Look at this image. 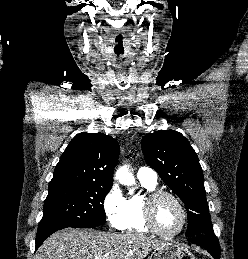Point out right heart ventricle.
Listing matches in <instances>:
<instances>
[{"instance_id": "obj_1", "label": "right heart ventricle", "mask_w": 248, "mask_h": 259, "mask_svg": "<svg viewBox=\"0 0 248 259\" xmlns=\"http://www.w3.org/2000/svg\"><path fill=\"white\" fill-rule=\"evenodd\" d=\"M141 184L144 189V193L131 196L127 199L122 230L131 233L151 232L144 218V198L147 193L156 189V184H151L145 181H141Z\"/></svg>"}]
</instances>
